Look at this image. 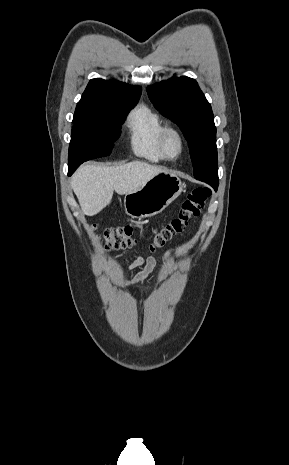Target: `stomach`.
I'll return each instance as SVG.
<instances>
[{"label":"stomach","mask_w":289,"mask_h":465,"mask_svg":"<svg viewBox=\"0 0 289 465\" xmlns=\"http://www.w3.org/2000/svg\"><path fill=\"white\" fill-rule=\"evenodd\" d=\"M185 183L176 175L162 172L124 198L127 215L143 219L161 213L184 190Z\"/></svg>","instance_id":"obj_1"}]
</instances>
